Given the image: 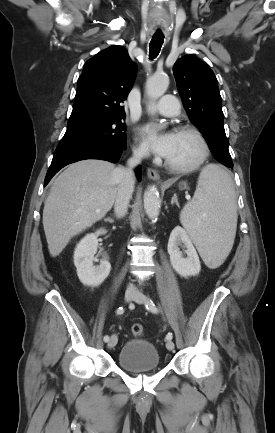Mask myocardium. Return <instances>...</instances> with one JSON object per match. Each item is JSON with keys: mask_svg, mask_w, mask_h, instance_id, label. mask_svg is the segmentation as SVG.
Here are the masks:
<instances>
[{"mask_svg": "<svg viewBox=\"0 0 275 433\" xmlns=\"http://www.w3.org/2000/svg\"><path fill=\"white\" fill-rule=\"evenodd\" d=\"M177 133H182V134H190L192 136H194L200 143L201 145V155L199 157V159L193 163L192 165L189 166H177L172 164L171 162H169L167 159H165L164 163L165 166L176 173L179 174H189V173H193L195 171H197L199 168H201L204 163L207 161L209 155H210V145L209 142L207 140V138L205 137V135L197 128L192 127V126H181L176 130Z\"/></svg>", "mask_w": 275, "mask_h": 433, "instance_id": "f54148a6", "label": "myocardium"}]
</instances>
